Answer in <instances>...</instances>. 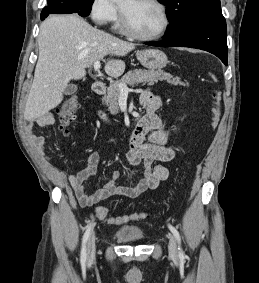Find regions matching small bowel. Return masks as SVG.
Segmentation results:
<instances>
[{
	"instance_id": "small-bowel-1",
	"label": "small bowel",
	"mask_w": 259,
	"mask_h": 283,
	"mask_svg": "<svg viewBox=\"0 0 259 283\" xmlns=\"http://www.w3.org/2000/svg\"><path fill=\"white\" fill-rule=\"evenodd\" d=\"M141 103L148 109L146 121L135 131L129 140L125 152L127 161L143 171L139 179L130 185H118L120 173L114 171L110 174L106 184L94 194L88 195L84 183L90 180L97 172L100 153L91 151L87 154V166L84 170L68 176V182L73 189L79 203L83 206H92L111 196H124L137 198L147 190H154L161 181L169 178V169L163 164L173 160L175 149L169 145V132L156 111L161 105V98L149 91L141 95ZM56 122L55 116L46 113L40 117L30 119L25 124V132L37 151L45 156L46 140L43 136L34 133V125L40 127L52 126ZM53 174H55L52 171Z\"/></svg>"
}]
</instances>
